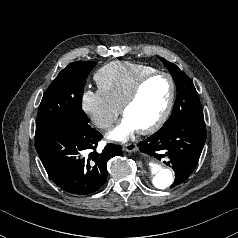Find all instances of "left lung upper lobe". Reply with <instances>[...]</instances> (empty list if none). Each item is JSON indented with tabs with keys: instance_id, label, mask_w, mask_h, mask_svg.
Returning <instances> with one entry per match:
<instances>
[{
	"instance_id": "5c2ea615",
	"label": "left lung upper lobe",
	"mask_w": 238,
	"mask_h": 238,
	"mask_svg": "<svg viewBox=\"0 0 238 238\" xmlns=\"http://www.w3.org/2000/svg\"><path fill=\"white\" fill-rule=\"evenodd\" d=\"M160 59L170 71L177 87V97L172 114L162 127L181 119L204 118L199 96L189 77L175 64L163 58Z\"/></svg>"
}]
</instances>
